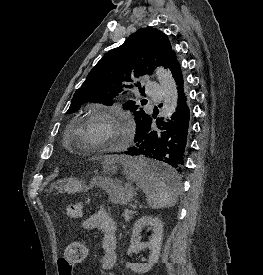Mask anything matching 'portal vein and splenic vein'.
<instances>
[{
    "mask_svg": "<svg viewBox=\"0 0 263 275\" xmlns=\"http://www.w3.org/2000/svg\"><path fill=\"white\" fill-rule=\"evenodd\" d=\"M137 206L136 205H133L132 208L135 209Z\"/></svg>",
    "mask_w": 263,
    "mask_h": 275,
    "instance_id": "18ae733b",
    "label": "portal vein and splenic vein"
}]
</instances>
